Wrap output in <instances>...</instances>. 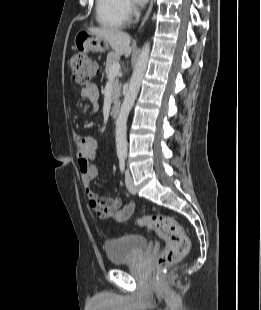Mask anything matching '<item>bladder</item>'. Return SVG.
<instances>
[{"label":"bladder","instance_id":"obj_1","mask_svg":"<svg viewBox=\"0 0 261 310\" xmlns=\"http://www.w3.org/2000/svg\"><path fill=\"white\" fill-rule=\"evenodd\" d=\"M147 239L139 234H121L105 242V251L109 261L118 265L134 259L147 247Z\"/></svg>","mask_w":261,"mask_h":310}]
</instances>
